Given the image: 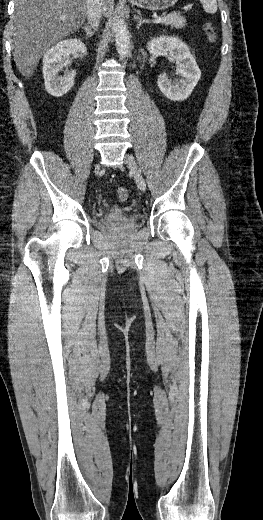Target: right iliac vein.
Masks as SVG:
<instances>
[{
    "instance_id": "1",
    "label": "right iliac vein",
    "mask_w": 263,
    "mask_h": 520,
    "mask_svg": "<svg viewBox=\"0 0 263 520\" xmlns=\"http://www.w3.org/2000/svg\"><path fill=\"white\" fill-rule=\"evenodd\" d=\"M96 170H97V171L100 170V166H99V165L96 166Z\"/></svg>"
}]
</instances>
